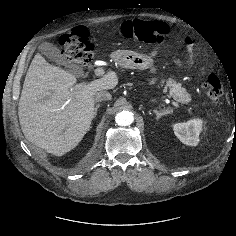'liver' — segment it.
I'll use <instances>...</instances> for the list:
<instances>
[{
	"instance_id": "obj_1",
	"label": "liver",
	"mask_w": 236,
	"mask_h": 236,
	"mask_svg": "<svg viewBox=\"0 0 236 236\" xmlns=\"http://www.w3.org/2000/svg\"><path fill=\"white\" fill-rule=\"evenodd\" d=\"M76 77L49 64L37 53L26 74L18 116L26 139L56 156L74 149L89 131L95 94L113 89L117 75L110 71L92 82L76 84Z\"/></svg>"
}]
</instances>
